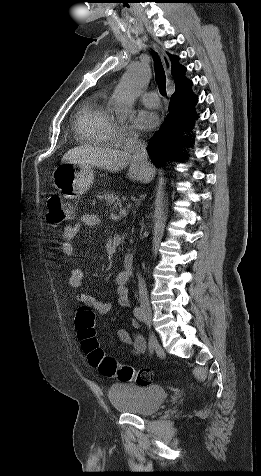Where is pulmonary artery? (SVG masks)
<instances>
[{"label":"pulmonary artery","instance_id":"e3ab8cb5","mask_svg":"<svg viewBox=\"0 0 261 476\" xmlns=\"http://www.w3.org/2000/svg\"><path fill=\"white\" fill-rule=\"evenodd\" d=\"M140 100L147 107L156 108L159 105V98L155 91H145L140 95Z\"/></svg>","mask_w":261,"mask_h":476}]
</instances>
